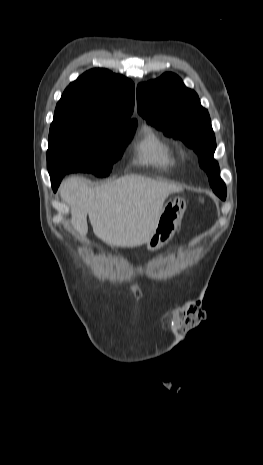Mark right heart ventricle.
Segmentation results:
<instances>
[{
    "instance_id": "right-heart-ventricle-1",
    "label": "right heart ventricle",
    "mask_w": 263,
    "mask_h": 465,
    "mask_svg": "<svg viewBox=\"0 0 263 465\" xmlns=\"http://www.w3.org/2000/svg\"><path fill=\"white\" fill-rule=\"evenodd\" d=\"M135 154L138 164L161 170H169L177 162L172 145L149 127L143 130L135 146Z\"/></svg>"
}]
</instances>
